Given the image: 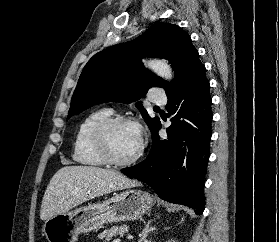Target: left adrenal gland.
I'll use <instances>...</instances> for the list:
<instances>
[{"mask_svg": "<svg viewBox=\"0 0 279 242\" xmlns=\"http://www.w3.org/2000/svg\"><path fill=\"white\" fill-rule=\"evenodd\" d=\"M152 220H149L146 225L145 228L142 230L141 234H140V240L139 242H142L148 235L149 232L153 231L155 229V227H150V223Z\"/></svg>", "mask_w": 279, "mask_h": 242, "instance_id": "obj_1", "label": "left adrenal gland"}]
</instances>
